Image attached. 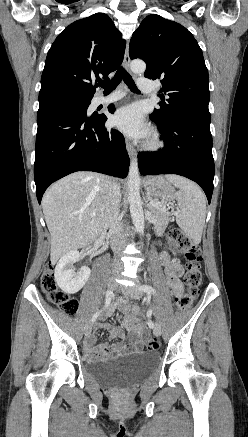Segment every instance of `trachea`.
<instances>
[{
  "mask_svg": "<svg viewBox=\"0 0 248 437\" xmlns=\"http://www.w3.org/2000/svg\"><path fill=\"white\" fill-rule=\"evenodd\" d=\"M122 78L131 91L140 93L134 80L123 67L117 70L112 80L99 82V85L104 89L105 93H110L118 86Z\"/></svg>",
  "mask_w": 248,
  "mask_h": 437,
  "instance_id": "1",
  "label": "trachea"
}]
</instances>
